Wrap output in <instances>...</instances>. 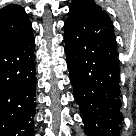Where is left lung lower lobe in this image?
I'll list each match as a JSON object with an SVG mask.
<instances>
[{"label":"left lung lower lobe","instance_id":"1","mask_svg":"<svg viewBox=\"0 0 136 136\" xmlns=\"http://www.w3.org/2000/svg\"><path fill=\"white\" fill-rule=\"evenodd\" d=\"M65 53L88 136H117L120 122L116 39L109 17H68Z\"/></svg>","mask_w":136,"mask_h":136}]
</instances>
